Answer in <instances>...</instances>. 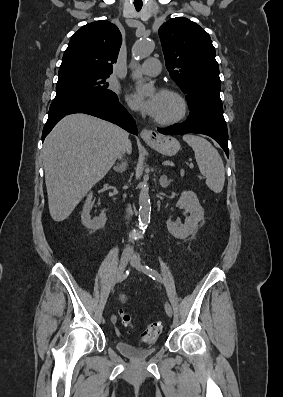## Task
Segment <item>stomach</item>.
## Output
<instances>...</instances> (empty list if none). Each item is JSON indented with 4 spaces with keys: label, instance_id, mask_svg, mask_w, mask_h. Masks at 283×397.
I'll list each match as a JSON object with an SVG mask.
<instances>
[{
    "label": "stomach",
    "instance_id": "stomach-1",
    "mask_svg": "<svg viewBox=\"0 0 283 397\" xmlns=\"http://www.w3.org/2000/svg\"><path fill=\"white\" fill-rule=\"evenodd\" d=\"M146 143L165 156H173L180 150L178 140L170 136H159L156 140Z\"/></svg>",
    "mask_w": 283,
    "mask_h": 397
}]
</instances>
